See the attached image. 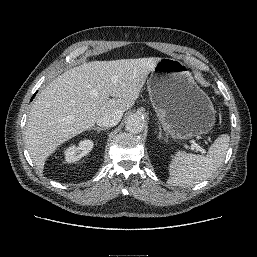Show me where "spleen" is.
<instances>
[{
	"instance_id": "obj_1",
	"label": "spleen",
	"mask_w": 257,
	"mask_h": 257,
	"mask_svg": "<svg viewBox=\"0 0 257 257\" xmlns=\"http://www.w3.org/2000/svg\"><path fill=\"white\" fill-rule=\"evenodd\" d=\"M229 142V135L222 134L210 146L207 155L176 152L169 164L167 183L173 186L192 187L207 180L224 161Z\"/></svg>"
}]
</instances>
